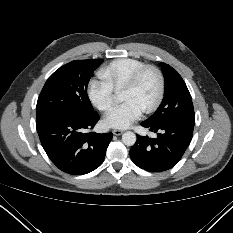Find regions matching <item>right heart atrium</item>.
Returning <instances> with one entry per match:
<instances>
[{"mask_svg":"<svg viewBox=\"0 0 233 233\" xmlns=\"http://www.w3.org/2000/svg\"><path fill=\"white\" fill-rule=\"evenodd\" d=\"M90 102L101 112H109L115 103L113 88L104 80L93 78L87 85Z\"/></svg>","mask_w":233,"mask_h":233,"instance_id":"1","label":"right heart atrium"}]
</instances>
